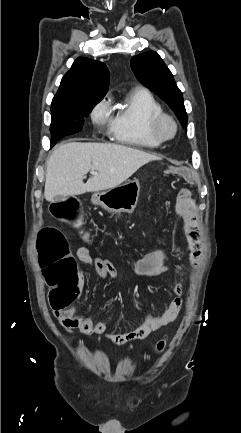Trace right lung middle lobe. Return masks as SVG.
<instances>
[{"instance_id":"right-lung-middle-lobe-1","label":"right lung middle lobe","mask_w":241,"mask_h":433,"mask_svg":"<svg viewBox=\"0 0 241 433\" xmlns=\"http://www.w3.org/2000/svg\"><path fill=\"white\" fill-rule=\"evenodd\" d=\"M100 100L52 102L51 147L61 138L82 130L84 118Z\"/></svg>"}]
</instances>
